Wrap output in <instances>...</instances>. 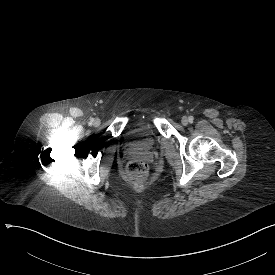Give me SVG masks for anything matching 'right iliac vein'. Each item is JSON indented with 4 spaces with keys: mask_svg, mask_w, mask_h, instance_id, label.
<instances>
[{
    "mask_svg": "<svg viewBox=\"0 0 275 275\" xmlns=\"http://www.w3.org/2000/svg\"><path fill=\"white\" fill-rule=\"evenodd\" d=\"M100 124H101V121H100L99 119H96V120L93 122V125H94L95 127H99Z\"/></svg>",
    "mask_w": 275,
    "mask_h": 275,
    "instance_id": "obj_1",
    "label": "right iliac vein"
}]
</instances>
